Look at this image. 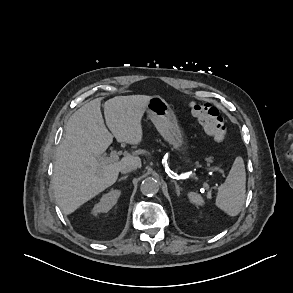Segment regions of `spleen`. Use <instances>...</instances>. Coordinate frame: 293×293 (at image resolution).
<instances>
[{"label":"spleen","mask_w":293,"mask_h":293,"mask_svg":"<svg viewBox=\"0 0 293 293\" xmlns=\"http://www.w3.org/2000/svg\"><path fill=\"white\" fill-rule=\"evenodd\" d=\"M246 172L242 157H236L232 168L223 184L218 188L216 206L229 216H237L245 202ZM188 199L197 206H203L200 194L189 192Z\"/></svg>","instance_id":"spleen-1"}]
</instances>
